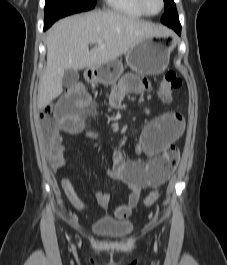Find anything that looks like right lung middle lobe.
Returning <instances> with one entry per match:
<instances>
[{
  "instance_id": "right-lung-middle-lobe-1",
  "label": "right lung middle lobe",
  "mask_w": 227,
  "mask_h": 265,
  "mask_svg": "<svg viewBox=\"0 0 227 265\" xmlns=\"http://www.w3.org/2000/svg\"><path fill=\"white\" fill-rule=\"evenodd\" d=\"M96 0H46L44 8V28L51 26L57 19L73 13L94 8Z\"/></svg>"
}]
</instances>
